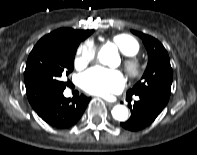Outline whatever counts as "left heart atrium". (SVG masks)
<instances>
[{
  "label": "left heart atrium",
  "instance_id": "39dd6f15",
  "mask_svg": "<svg viewBox=\"0 0 197 155\" xmlns=\"http://www.w3.org/2000/svg\"><path fill=\"white\" fill-rule=\"evenodd\" d=\"M81 87L88 93L108 96L120 92L125 84L122 74L115 70L93 67L81 75Z\"/></svg>",
  "mask_w": 197,
  "mask_h": 155
}]
</instances>
